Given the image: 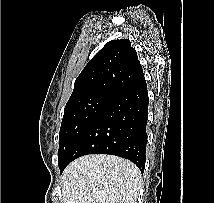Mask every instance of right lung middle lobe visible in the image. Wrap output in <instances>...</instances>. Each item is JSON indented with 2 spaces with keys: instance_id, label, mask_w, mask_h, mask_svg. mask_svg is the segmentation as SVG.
<instances>
[{
  "instance_id": "dd1d6c3e",
  "label": "right lung middle lobe",
  "mask_w": 214,
  "mask_h": 203,
  "mask_svg": "<svg viewBox=\"0 0 214 203\" xmlns=\"http://www.w3.org/2000/svg\"><path fill=\"white\" fill-rule=\"evenodd\" d=\"M111 98L104 94H91L67 102L59 133V167Z\"/></svg>"
}]
</instances>
